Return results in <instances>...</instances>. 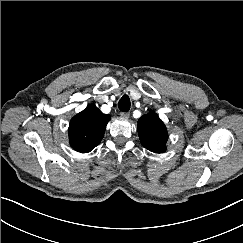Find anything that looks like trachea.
I'll use <instances>...</instances> for the list:
<instances>
[{"mask_svg":"<svg viewBox=\"0 0 243 243\" xmlns=\"http://www.w3.org/2000/svg\"><path fill=\"white\" fill-rule=\"evenodd\" d=\"M118 108L122 112H128L130 110V99L127 95L122 96L118 102Z\"/></svg>","mask_w":243,"mask_h":243,"instance_id":"obj_1","label":"trachea"}]
</instances>
